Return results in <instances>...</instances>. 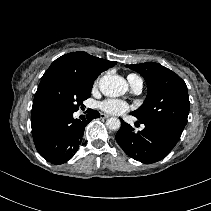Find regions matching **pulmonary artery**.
<instances>
[{
	"label": "pulmonary artery",
	"mask_w": 211,
	"mask_h": 211,
	"mask_svg": "<svg viewBox=\"0 0 211 211\" xmlns=\"http://www.w3.org/2000/svg\"><path fill=\"white\" fill-rule=\"evenodd\" d=\"M133 90L136 92V93H139L141 90H142V87H143V81L141 79H137L135 81H132L130 82Z\"/></svg>",
	"instance_id": "1"
}]
</instances>
